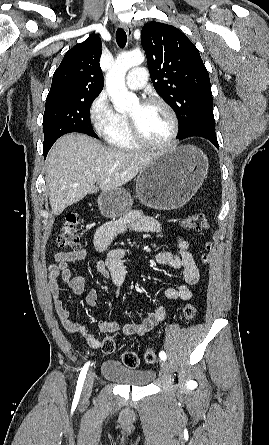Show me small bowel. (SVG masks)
<instances>
[{
    "instance_id": "c3829d8e",
    "label": "small bowel",
    "mask_w": 269,
    "mask_h": 445,
    "mask_svg": "<svg viewBox=\"0 0 269 445\" xmlns=\"http://www.w3.org/2000/svg\"><path fill=\"white\" fill-rule=\"evenodd\" d=\"M162 226L158 220L147 216L140 211H131L125 217L116 221L102 224L96 230L94 247L98 252H104L110 242L117 236L127 231L135 232H160ZM176 248L174 251L164 250L157 253L155 259L160 265L178 269L181 272L184 284L178 287H167L163 290L164 299L170 301H189L192 298L190 286L198 283L200 279L199 269L189 251L188 242L181 236H176ZM86 249L81 248L76 252H58L55 254L54 263L49 266L48 289L53 297L55 311L63 328L69 333H80L88 345L93 349L101 347V341L90 334L85 326L70 318L69 312L64 306L60 296L59 279L68 285L75 297L84 292L85 283L81 276H74L70 264L79 261L86 256ZM126 250L114 248L106 254V257L95 264V271L106 280L112 281L116 287H120L126 280L127 271L124 264ZM98 301V292L90 290L86 296V303L94 307ZM166 315L164 305L157 306L147 317L136 323H119L116 321H100L98 328L103 333L121 332L125 335H144L162 322Z\"/></svg>"
}]
</instances>
